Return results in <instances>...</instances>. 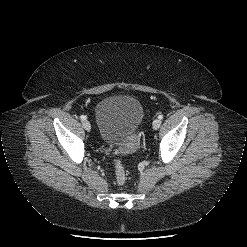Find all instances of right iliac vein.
<instances>
[{
  "label": "right iliac vein",
  "mask_w": 247,
  "mask_h": 247,
  "mask_svg": "<svg viewBox=\"0 0 247 247\" xmlns=\"http://www.w3.org/2000/svg\"><path fill=\"white\" fill-rule=\"evenodd\" d=\"M83 127H84V129L86 130V131H90L91 130V124H90V122L88 121V120H85L84 122H83Z\"/></svg>",
  "instance_id": "1"
}]
</instances>
